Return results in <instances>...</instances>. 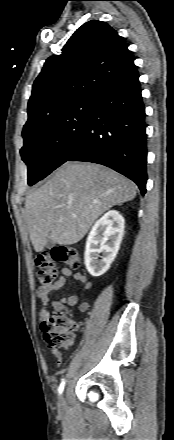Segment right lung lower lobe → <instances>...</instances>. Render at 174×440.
Wrapping results in <instances>:
<instances>
[{"label":"right lung lower lobe","mask_w":174,"mask_h":440,"mask_svg":"<svg viewBox=\"0 0 174 440\" xmlns=\"http://www.w3.org/2000/svg\"><path fill=\"white\" fill-rule=\"evenodd\" d=\"M138 78L133 63L93 91L87 129L66 161H88L110 167L133 180L144 195L147 125Z\"/></svg>","instance_id":"obj_1"}]
</instances>
